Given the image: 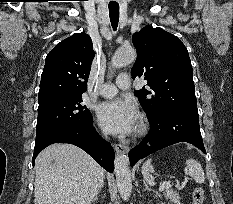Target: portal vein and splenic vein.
Listing matches in <instances>:
<instances>
[{"mask_svg": "<svg viewBox=\"0 0 233 204\" xmlns=\"http://www.w3.org/2000/svg\"><path fill=\"white\" fill-rule=\"evenodd\" d=\"M171 187V184L169 181H163L159 190L160 191H163L164 189H167V188H170Z\"/></svg>", "mask_w": 233, "mask_h": 204, "instance_id": "18ae733b", "label": "portal vein and splenic vein"}]
</instances>
